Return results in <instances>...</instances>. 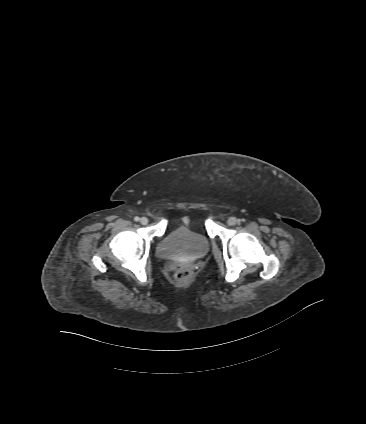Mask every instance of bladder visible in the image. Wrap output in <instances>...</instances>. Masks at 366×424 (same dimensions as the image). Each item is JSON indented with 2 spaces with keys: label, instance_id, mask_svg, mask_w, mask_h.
I'll return each instance as SVG.
<instances>
[{
  "label": "bladder",
  "instance_id": "bladder-1",
  "mask_svg": "<svg viewBox=\"0 0 366 424\" xmlns=\"http://www.w3.org/2000/svg\"><path fill=\"white\" fill-rule=\"evenodd\" d=\"M210 247L208 237L182 225L170 230L159 242L157 253L168 259H196L205 255Z\"/></svg>",
  "mask_w": 366,
  "mask_h": 424
}]
</instances>
